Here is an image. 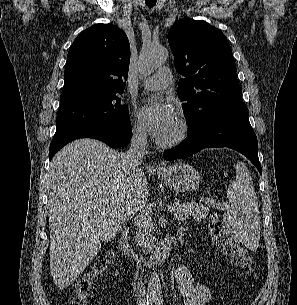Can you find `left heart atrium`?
<instances>
[{
    "instance_id": "39dd6f15",
    "label": "left heart atrium",
    "mask_w": 297,
    "mask_h": 305,
    "mask_svg": "<svg viewBox=\"0 0 297 305\" xmlns=\"http://www.w3.org/2000/svg\"><path fill=\"white\" fill-rule=\"evenodd\" d=\"M143 122L149 132L161 139L172 127L176 118L170 101L166 99H150L141 109Z\"/></svg>"
}]
</instances>
